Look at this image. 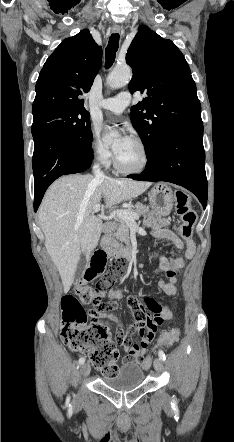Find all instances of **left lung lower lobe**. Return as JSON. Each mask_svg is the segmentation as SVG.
I'll return each mask as SVG.
<instances>
[{
    "instance_id": "left-lung-lower-lobe-1",
    "label": "left lung lower lobe",
    "mask_w": 234,
    "mask_h": 442,
    "mask_svg": "<svg viewBox=\"0 0 234 442\" xmlns=\"http://www.w3.org/2000/svg\"><path fill=\"white\" fill-rule=\"evenodd\" d=\"M129 177L178 184L193 192L205 207L207 179L202 120L185 122L170 130L163 137L154 159L147 162L144 173Z\"/></svg>"
}]
</instances>
